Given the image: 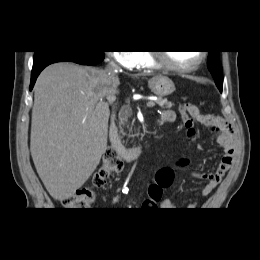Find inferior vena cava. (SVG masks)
<instances>
[{"label": "inferior vena cava", "instance_id": "obj_1", "mask_svg": "<svg viewBox=\"0 0 260 260\" xmlns=\"http://www.w3.org/2000/svg\"><path fill=\"white\" fill-rule=\"evenodd\" d=\"M118 70V66L114 63V62H110L107 64L106 68H105V72L107 74H110L109 76H111L112 78H116V73Z\"/></svg>", "mask_w": 260, "mask_h": 260}]
</instances>
